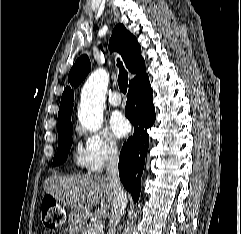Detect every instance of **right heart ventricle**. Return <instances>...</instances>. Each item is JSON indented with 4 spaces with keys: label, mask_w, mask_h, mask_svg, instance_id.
Listing matches in <instances>:
<instances>
[{
    "label": "right heart ventricle",
    "mask_w": 241,
    "mask_h": 234,
    "mask_svg": "<svg viewBox=\"0 0 241 234\" xmlns=\"http://www.w3.org/2000/svg\"><path fill=\"white\" fill-rule=\"evenodd\" d=\"M74 160L78 167L87 168V158H86L85 149L80 144L76 146V149L74 152Z\"/></svg>",
    "instance_id": "right-heart-ventricle-1"
}]
</instances>
